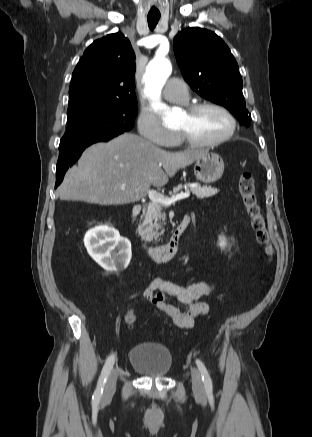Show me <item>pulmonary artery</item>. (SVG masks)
I'll return each mask as SVG.
<instances>
[{
    "mask_svg": "<svg viewBox=\"0 0 312 437\" xmlns=\"http://www.w3.org/2000/svg\"><path fill=\"white\" fill-rule=\"evenodd\" d=\"M163 96L171 102L186 103L189 99L187 84L180 79L171 78L165 84Z\"/></svg>",
    "mask_w": 312,
    "mask_h": 437,
    "instance_id": "e3ab8cb5",
    "label": "pulmonary artery"
}]
</instances>
